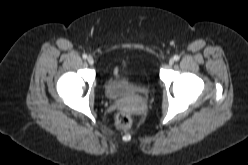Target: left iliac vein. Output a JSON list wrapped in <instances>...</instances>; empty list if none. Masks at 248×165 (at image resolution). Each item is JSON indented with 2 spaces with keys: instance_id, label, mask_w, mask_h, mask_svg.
<instances>
[{
  "instance_id": "1",
  "label": "left iliac vein",
  "mask_w": 248,
  "mask_h": 165,
  "mask_svg": "<svg viewBox=\"0 0 248 165\" xmlns=\"http://www.w3.org/2000/svg\"><path fill=\"white\" fill-rule=\"evenodd\" d=\"M174 62H175V60H174L173 58H171V59L169 60V65H173Z\"/></svg>"
}]
</instances>
